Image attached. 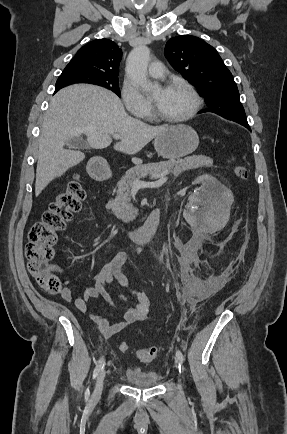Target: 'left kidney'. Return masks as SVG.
Wrapping results in <instances>:
<instances>
[{"mask_svg":"<svg viewBox=\"0 0 287 434\" xmlns=\"http://www.w3.org/2000/svg\"><path fill=\"white\" fill-rule=\"evenodd\" d=\"M202 185L196 193L190 196L189 204L183 212L186 221L195 226L206 218H225L230 212L233 196L230 190L211 175H202L197 179ZM200 204L204 208L196 209L193 205Z\"/></svg>","mask_w":287,"mask_h":434,"instance_id":"left-kidney-1","label":"left kidney"}]
</instances>
